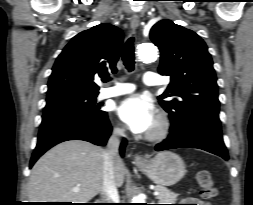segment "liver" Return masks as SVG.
<instances>
[{"instance_id":"1","label":"liver","mask_w":253,"mask_h":205,"mask_svg":"<svg viewBox=\"0 0 253 205\" xmlns=\"http://www.w3.org/2000/svg\"><path fill=\"white\" fill-rule=\"evenodd\" d=\"M104 150L89 142L71 140L47 151L33 166L28 183L31 202L87 203L101 192ZM126 167L117 157L115 181L122 186ZM80 185L78 191L73 188Z\"/></svg>"}]
</instances>
